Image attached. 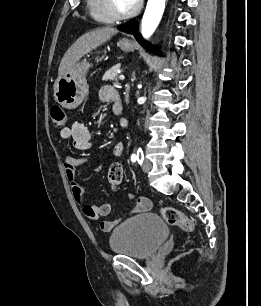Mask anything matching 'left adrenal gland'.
Listing matches in <instances>:
<instances>
[{
    "label": "left adrenal gland",
    "mask_w": 261,
    "mask_h": 306,
    "mask_svg": "<svg viewBox=\"0 0 261 306\" xmlns=\"http://www.w3.org/2000/svg\"><path fill=\"white\" fill-rule=\"evenodd\" d=\"M133 79H135V76H134V74H133Z\"/></svg>",
    "instance_id": "1"
}]
</instances>
